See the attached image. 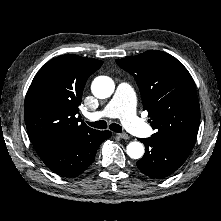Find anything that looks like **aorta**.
<instances>
[{
    "instance_id": "obj_1",
    "label": "aorta",
    "mask_w": 221,
    "mask_h": 221,
    "mask_svg": "<svg viewBox=\"0 0 221 221\" xmlns=\"http://www.w3.org/2000/svg\"><path fill=\"white\" fill-rule=\"evenodd\" d=\"M114 89V81L107 76L95 78L91 85L93 95L99 99L110 97ZM126 152L130 158L140 159L144 155V146L140 142L133 141L127 145Z\"/></svg>"
}]
</instances>
